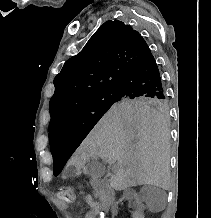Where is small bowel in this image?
Listing matches in <instances>:
<instances>
[{
	"mask_svg": "<svg viewBox=\"0 0 211 218\" xmlns=\"http://www.w3.org/2000/svg\"><path fill=\"white\" fill-rule=\"evenodd\" d=\"M87 202L91 207L85 212L84 218H97L100 213L101 205H99L91 195H87ZM133 218H144V214L141 209H136L132 213Z\"/></svg>",
	"mask_w": 211,
	"mask_h": 218,
	"instance_id": "c3829d8e",
	"label": "small bowel"
}]
</instances>
